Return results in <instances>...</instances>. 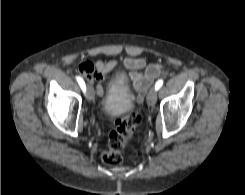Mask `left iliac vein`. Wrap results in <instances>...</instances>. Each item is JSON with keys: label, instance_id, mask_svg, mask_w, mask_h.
I'll list each match as a JSON object with an SVG mask.
<instances>
[{"label": "left iliac vein", "instance_id": "1", "mask_svg": "<svg viewBox=\"0 0 245 195\" xmlns=\"http://www.w3.org/2000/svg\"><path fill=\"white\" fill-rule=\"evenodd\" d=\"M157 100V90L155 88H151L147 95V103L149 106H154Z\"/></svg>", "mask_w": 245, "mask_h": 195}]
</instances>
